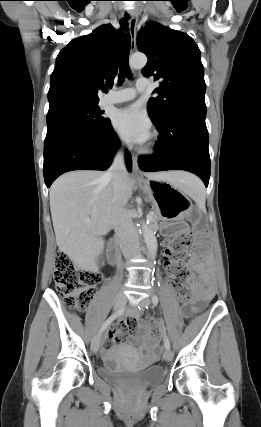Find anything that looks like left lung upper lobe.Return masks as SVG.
Listing matches in <instances>:
<instances>
[{
    "mask_svg": "<svg viewBox=\"0 0 261 427\" xmlns=\"http://www.w3.org/2000/svg\"><path fill=\"white\" fill-rule=\"evenodd\" d=\"M137 47L148 57L142 74L160 81L153 91L159 96L147 105L152 121L164 120L180 104L206 106L200 49L190 36L152 22L138 36Z\"/></svg>",
    "mask_w": 261,
    "mask_h": 427,
    "instance_id": "left-lung-upper-lobe-1",
    "label": "left lung upper lobe"
}]
</instances>
